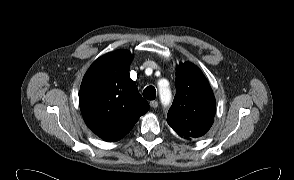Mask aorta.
<instances>
[{
    "instance_id": "1",
    "label": "aorta",
    "mask_w": 294,
    "mask_h": 180,
    "mask_svg": "<svg viewBox=\"0 0 294 180\" xmlns=\"http://www.w3.org/2000/svg\"><path fill=\"white\" fill-rule=\"evenodd\" d=\"M158 86H159V96H160L161 102L164 105L169 104L171 101L172 94L168 86V82L166 80H161L158 83Z\"/></svg>"
}]
</instances>
